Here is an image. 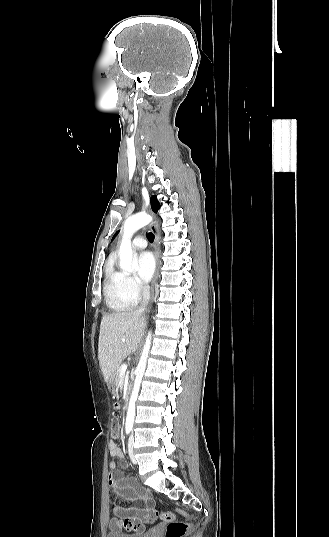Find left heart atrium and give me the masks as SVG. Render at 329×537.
Listing matches in <instances>:
<instances>
[{
    "label": "left heart atrium",
    "instance_id": "1",
    "mask_svg": "<svg viewBox=\"0 0 329 537\" xmlns=\"http://www.w3.org/2000/svg\"><path fill=\"white\" fill-rule=\"evenodd\" d=\"M137 263H138L137 273H138L139 280L142 283H147L151 279L154 273V269H155V260H154L152 253L150 252L140 253L137 258Z\"/></svg>",
    "mask_w": 329,
    "mask_h": 537
}]
</instances>
